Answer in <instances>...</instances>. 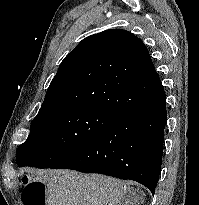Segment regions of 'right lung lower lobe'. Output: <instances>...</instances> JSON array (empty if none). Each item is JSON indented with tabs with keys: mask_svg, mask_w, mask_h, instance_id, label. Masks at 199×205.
Returning a JSON list of instances; mask_svg holds the SVG:
<instances>
[{
	"mask_svg": "<svg viewBox=\"0 0 199 205\" xmlns=\"http://www.w3.org/2000/svg\"><path fill=\"white\" fill-rule=\"evenodd\" d=\"M132 87L144 97L118 115L93 141L50 168L134 180L154 195L162 164L166 95L159 77L134 83Z\"/></svg>",
	"mask_w": 199,
	"mask_h": 205,
	"instance_id": "98d812e1",
	"label": "right lung lower lobe"
}]
</instances>
